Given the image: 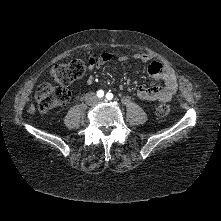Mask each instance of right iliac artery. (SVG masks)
<instances>
[{"instance_id": "82829eb1", "label": "right iliac artery", "mask_w": 221, "mask_h": 221, "mask_svg": "<svg viewBox=\"0 0 221 221\" xmlns=\"http://www.w3.org/2000/svg\"><path fill=\"white\" fill-rule=\"evenodd\" d=\"M104 96V91L103 90H98L97 91V97L102 98Z\"/></svg>"}]
</instances>
